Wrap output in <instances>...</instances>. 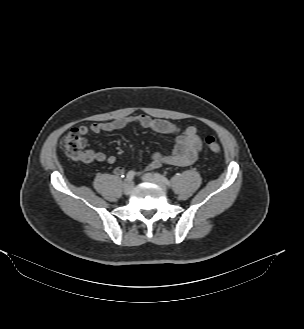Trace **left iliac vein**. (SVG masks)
Instances as JSON below:
<instances>
[{"instance_id":"left-iliac-vein-1","label":"left iliac vein","mask_w":304,"mask_h":329,"mask_svg":"<svg viewBox=\"0 0 304 329\" xmlns=\"http://www.w3.org/2000/svg\"><path fill=\"white\" fill-rule=\"evenodd\" d=\"M142 180H144L146 182L157 184L163 190H166V186L161 181H159L158 178L154 174H152V173H146V174H144L142 176Z\"/></svg>"}]
</instances>
